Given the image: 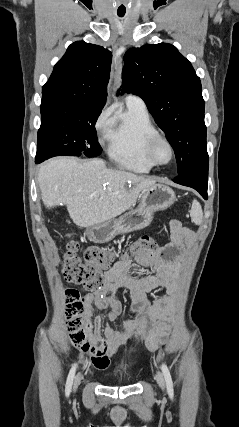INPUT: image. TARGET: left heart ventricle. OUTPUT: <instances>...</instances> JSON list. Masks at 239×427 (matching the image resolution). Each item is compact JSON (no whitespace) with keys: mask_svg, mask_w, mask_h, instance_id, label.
Masks as SVG:
<instances>
[{"mask_svg":"<svg viewBox=\"0 0 239 427\" xmlns=\"http://www.w3.org/2000/svg\"><path fill=\"white\" fill-rule=\"evenodd\" d=\"M169 149L165 143H159L155 149V157L161 162H165L169 158Z\"/></svg>","mask_w":239,"mask_h":427,"instance_id":"left-heart-ventricle-1","label":"left heart ventricle"}]
</instances>
